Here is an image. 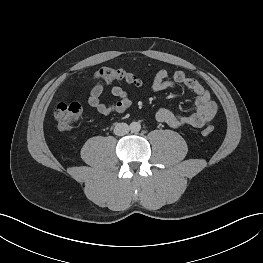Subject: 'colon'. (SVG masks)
<instances>
[{
	"label": "colon",
	"mask_w": 263,
	"mask_h": 263,
	"mask_svg": "<svg viewBox=\"0 0 263 263\" xmlns=\"http://www.w3.org/2000/svg\"><path fill=\"white\" fill-rule=\"evenodd\" d=\"M96 81L111 84V83H122L129 86H140L142 81L136 75L120 68L113 67H102L100 68L93 77ZM82 106L78 102H61L56 106L54 111V119L56 122L57 129L65 132L71 130L78 117L82 113ZM214 131L213 127H207L203 133L210 135Z\"/></svg>",
	"instance_id": "5ec220e1"
}]
</instances>
